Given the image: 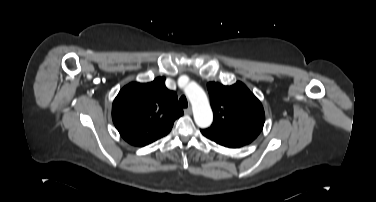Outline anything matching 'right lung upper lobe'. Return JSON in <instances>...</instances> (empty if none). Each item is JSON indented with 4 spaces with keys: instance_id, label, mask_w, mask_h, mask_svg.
<instances>
[{
    "instance_id": "right-lung-upper-lobe-1",
    "label": "right lung upper lobe",
    "mask_w": 376,
    "mask_h": 202,
    "mask_svg": "<svg viewBox=\"0 0 376 202\" xmlns=\"http://www.w3.org/2000/svg\"><path fill=\"white\" fill-rule=\"evenodd\" d=\"M182 115L177 95L166 88L164 77L126 85L112 105L115 127L124 140L138 147L167 135Z\"/></svg>"
}]
</instances>
